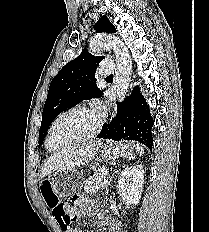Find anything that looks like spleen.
<instances>
[{
    "mask_svg": "<svg viewBox=\"0 0 209 232\" xmlns=\"http://www.w3.org/2000/svg\"><path fill=\"white\" fill-rule=\"evenodd\" d=\"M136 150L140 155L144 154V148L141 145L137 144Z\"/></svg>",
    "mask_w": 209,
    "mask_h": 232,
    "instance_id": "obj_1",
    "label": "spleen"
}]
</instances>
